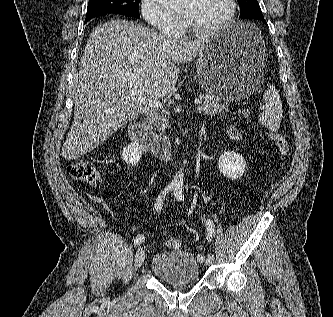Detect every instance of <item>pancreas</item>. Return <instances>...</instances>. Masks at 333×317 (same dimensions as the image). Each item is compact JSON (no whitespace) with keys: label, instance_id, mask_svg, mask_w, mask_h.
Segmentation results:
<instances>
[{"label":"pancreas","instance_id":"1","mask_svg":"<svg viewBox=\"0 0 333 317\" xmlns=\"http://www.w3.org/2000/svg\"><path fill=\"white\" fill-rule=\"evenodd\" d=\"M229 111V106L227 103H220V101L211 95L207 94L205 96V101L202 105L198 106V112L214 115L227 113ZM169 115L163 111H154L149 115L148 124L155 130L159 132H164V129L168 125Z\"/></svg>","mask_w":333,"mask_h":317}]
</instances>
